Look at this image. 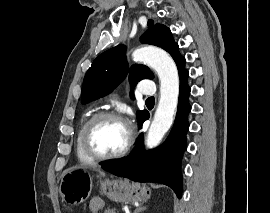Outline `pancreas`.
<instances>
[{"label": "pancreas", "instance_id": "1", "mask_svg": "<svg viewBox=\"0 0 270 213\" xmlns=\"http://www.w3.org/2000/svg\"><path fill=\"white\" fill-rule=\"evenodd\" d=\"M104 213H118V212H116L114 208L113 209L108 208L104 211Z\"/></svg>", "mask_w": 270, "mask_h": 213}]
</instances>
